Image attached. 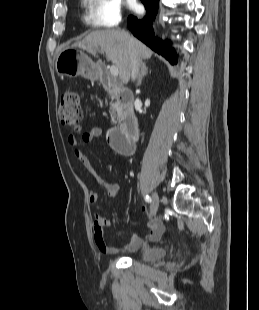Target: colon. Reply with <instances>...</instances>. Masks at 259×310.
<instances>
[{
  "label": "colon",
  "mask_w": 259,
  "mask_h": 310,
  "mask_svg": "<svg viewBox=\"0 0 259 310\" xmlns=\"http://www.w3.org/2000/svg\"><path fill=\"white\" fill-rule=\"evenodd\" d=\"M58 118L64 126L75 130L79 129L82 120V108L76 90L68 89L63 93L58 108Z\"/></svg>",
  "instance_id": "5ec220e1"
}]
</instances>
